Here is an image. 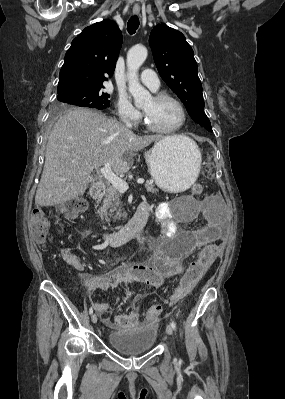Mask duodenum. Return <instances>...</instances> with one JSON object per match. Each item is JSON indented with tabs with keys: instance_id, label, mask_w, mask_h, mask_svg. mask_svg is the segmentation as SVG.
<instances>
[{
	"instance_id": "1",
	"label": "duodenum",
	"mask_w": 285,
	"mask_h": 399,
	"mask_svg": "<svg viewBox=\"0 0 285 399\" xmlns=\"http://www.w3.org/2000/svg\"><path fill=\"white\" fill-rule=\"evenodd\" d=\"M105 193L101 184H94L90 189V195L94 201H99ZM148 210L145 205H139L131 220L121 229L105 231L101 233L104 242L110 245H119L131 240L141 239V233L146 225Z\"/></svg>"
}]
</instances>
